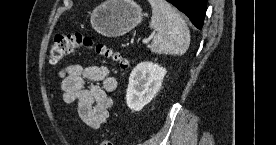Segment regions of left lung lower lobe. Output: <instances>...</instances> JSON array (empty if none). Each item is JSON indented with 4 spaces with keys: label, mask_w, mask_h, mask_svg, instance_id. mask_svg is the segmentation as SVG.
<instances>
[{
    "label": "left lung lower lobe",
    "mask_w": 276,
    "mask_h": 145,
    "mask_svg": "<svg viewBox=\"0 0 276 145\" xmlns=\"http://www.w3.org/2000/svg\"><path fill=\"white\" fill-rule=\"evenodd\" d=\"M185 13L198 29H202L206 14L207 0H167Z\"/></svg>",
    "instance_id": "0a47b994"
}]
</instances>
